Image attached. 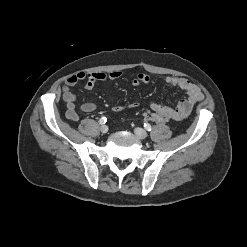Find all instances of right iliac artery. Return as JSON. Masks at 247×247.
I'll return each instance as SVG.
<instances>
[{"mask_svg":"<svg viewBox=\"0 0 247 247\" xmlns=\"http://www.w3.org/2000/svg\"><path fill=\"white\" fill-rule=\"evenodd\" d=\"M106 121H107L106 117H102V118H100L99 123H100L101 125H103V124L106 123Z\"/></svg>","mask_w":247,"mask_h":247,"instance_id":"right-iliac-artery-1","label":"right iliac artery"}]
</instances>
